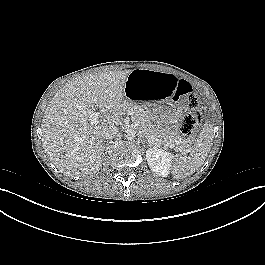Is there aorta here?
Masks as SVG:
<instances>
[{
	"mask_svg": "<svg viewBox=\"0 0 265 265\" xmlns=\"http://www.w3.org/2000/svg\"><path fill=\"white\" fill-rule=\"evenodd\" d=\"M125 138L132 140L136 136V131L133 128H127L124 133Z\"/></svg>",
	"mask_w": 265,
	"mask_h": 265,
	"instance_id": "obj_1",
	"label": "aorta"
}]
</instances>
